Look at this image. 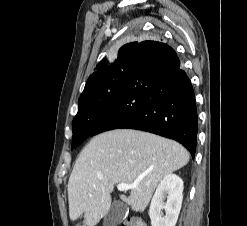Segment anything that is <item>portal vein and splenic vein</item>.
<instances>
[{
  "label": "portal vein and splenic vein",
  "mask_w": 247,
  "mask_h": 226,
  "mask_svg": "<svg viewBox=\"0 0 247 226\" xmlns=\"http://www.w3.org/2000/svg\"><path fill=\"white\" fill-rule=\"evenodd\" d=\"M135 186H136V184L129 185V184H125V183H120L117 185V189L119 191H127V190H130L131 188H133Z\"/></svg>",
  "instance_id": "obj_1"
}]
</instances>
